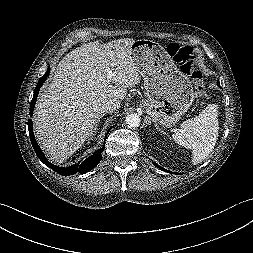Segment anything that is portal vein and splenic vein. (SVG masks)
<instances>
[{
    "label": "portal vein and splenic vein",
    "instance_id": "obj_1",
    "mask_svg": "<svg viewBox=\"0 0 253 253\" xmlns=\"http://www.w3.org/2000/svg\"><path fill=\"white\" fill-rule=\"evenodd\" d=\"M112 77H113V73H112V71L108 68V69H107V80H108V82L111 81Z\"/></svg>",
    "mask_w": 253,
    "mask_h": 253
}]
</instances>
